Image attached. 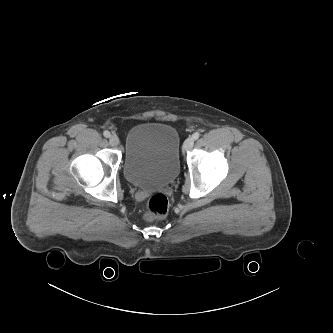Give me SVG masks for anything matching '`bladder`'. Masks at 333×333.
Instances as JSON below:
<instances>
[{"mask_svg": "<svg viewBox=\"0 0 333 333\" xmlns=\"http://www.w3.org/2000/svg\"><path fill=\"white\" fill-rule=\"evenodd\" d=\"M180 135L164 122H144L127 133L123 173L129 183L143 189L171 184L180 170Z\"/></svg>", "mask_w": 333, "mask_h": 333, "instance_id": "1", "label": "bladder"}]
</instances>
